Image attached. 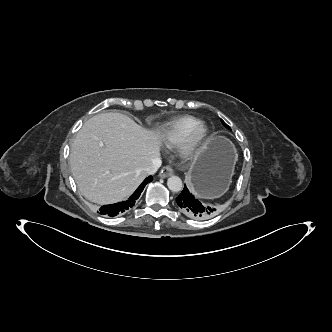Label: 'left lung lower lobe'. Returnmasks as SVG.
I'll list each match as a JSON object with an SVG mask.
<instances>
[{
	"label": "left lung lower lobe",
	"instance_id": "0a47b994",
	"mask_svg": "<svg viewBox=\"0 0 332 332\" xmlns=\"http://www.w3.org/2000/svg\"><path fill=\"white\" fill-rule=\"evenodd\" d=\"M176 202L185 215L195 220L210 219L214 216L216 210L211 207L203 206L200 201L194 198L186 186L176 198Z\"/></svg>",
	"mask_w": 332,
	"mask_h": 332
}]
</instances>
